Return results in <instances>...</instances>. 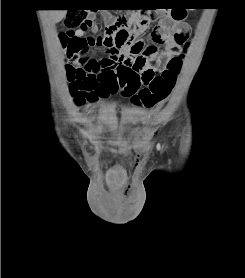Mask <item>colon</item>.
<instances>
[{"label": "colon", "instance_id": "obj_1", "mask_svg": "<svg viewBox=\"0 0 245 278\" xmlns=\"http://www.w3.org/2000/svg\"><path fill=\"white\" fill-rule=\"evenodd\" d=\"M158 13L143 12L133 16L123 15L119 20V26L107 29L103 36L97 38V43L105 44L111 39L116 47H126L130 52H138L141 55H152L159 58V50L154 47H145L140 41H135L131 36V26L147 25L157 17ZM173 18L182 20L185 13L181 10H174ZM66 31L59 36L60 43L65 49V60L67 80L69 91L72 97L73 105L76 108H82L95 101L94 81L86 71L89 64L81 61V66L74 65L73 62L85 56L92 48V42L89 38H80L74 36V32L88 30L93 27L92 22L86 18V11L83 9L73 10L67 13L64 18ZM187 37L171 31L168 35L169 49L176 55L172 56L167 63L166 68L161 71L146 69L142 74L129 72L126 76L120 77L117 82L108 88L110 94L121 92L122 95L129 98L134 106L142 108H152L165 101L171 94L180 73L181 55L180 49L187 47ZM144 84L143 87H140ZM150 147L144 145L139 149L141 154H146Z\"/></svg>", "mask_w": 245, "mask_h": 278}]
</instances>
